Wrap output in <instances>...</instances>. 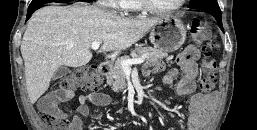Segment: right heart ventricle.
Instances as JSON below:
<instances>
[{"instance_id":"right-heart-ventricle-1","label":"right heart ventricle","mask_w":257,"mask_h":130,"mask_svg":"<svg viewBox=\"0 0 257 130\" xmlns=\"http://www.w3.org/2000/svg\"><path fill=\"white\" fill-rule=\"evenodd\" d=\"M120 2V8L126 12H139L141 10L137 0H121Z\"/></svg>"}]
</instances>
